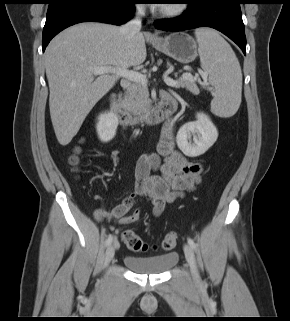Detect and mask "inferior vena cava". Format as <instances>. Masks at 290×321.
I'll return each instance as SVG.
<instances>
[{
  "mask_svg": "<svg viewBox=\"0 0 290 321\" xmlns=\"http://www.w3.org/2000/svg\"><path fill=\"white\" fill-rule=\"evenodd\" d=\"M145 14L143 6L137 5L136 12L133 19L128 21L120 28V32L127 38L134 37L141 29L142 17Z\"/></svg>",
  "mask_w": 290,
  "mask_h": 321,
  "instance_id": "602c4592",
  "label": "inferior vena cava"
}]
</instances>
